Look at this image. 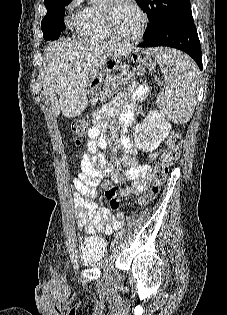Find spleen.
<instances>
[{"label": "spleen", "mask_w": 227, "mask_h": 315, "mask_svg": "<svg viewBox=\"0 0 227 315\" xmlns=\"http://www.w3.org/2000/svg\"><path fill=\"white\" fill-rule=\"evenodd\" d=\"M149 54L164 74V89L157 97L160 113L175 123L192 117L198 93V74L193 61L174 49L157 48Z\"/></svg>", "instance_id": "spleen-1"}]
</instances>
